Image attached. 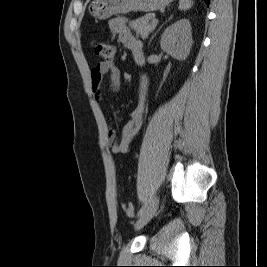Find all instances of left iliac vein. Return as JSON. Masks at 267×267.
I'll return each mask as SVG.
<instances>
[{
    "label": "left iliac vein",
    "mask_w": 267,
    "mask_h": 267,
    "mask_svg": "<svg viewBox=\"0 0 267 267\" xmlns=\"http://www.w3.org/2000/svg\"><path fill=\"white\" fill-rule=\"evenodd\" d=\"M159 200L158 198H154L149 206L145 209L143 214L138 218L135 222L134 227L136 230L143 228L155 215L158 208Z\"/></svg>",
    "instance_id": "obj_1"
}]
</instances>
